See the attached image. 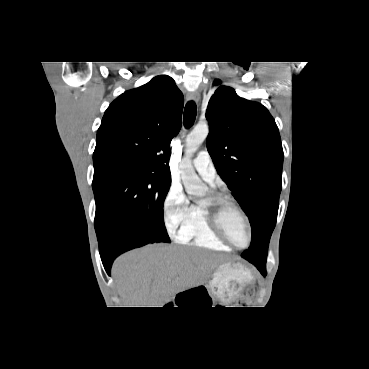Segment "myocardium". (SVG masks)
I'll return each mask as SVG.
<instances>
[{"instance_id":"myocardium-1","label":"myocardium","mask_w":369,"mask_h":369,"mask_svg":"<svg viewBox=\"0 0 369 369\" xmlns=\"http://www.w3.org/2000/svg\"><path fill=\"white\" fill-rule=\"evenodd\" d=\"M202 207L206 213L207 221L211 230L222 242H224L230 248H234L237 250H243L250 246L252 242V227L249 218L245 211L240 207V205L236 203L232 198L226 195L212 194L202 203ZM228 207L234 208L241 215L244 221L248 233V240L244 246L236 245L230 239L224 228L222 217L225 209Z\"/></svg>"}]
</instances>
